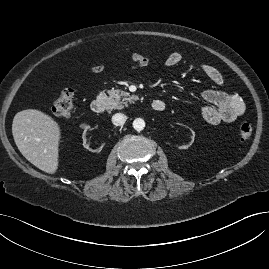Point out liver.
<instances>
[{"instance_id": "6515ba94", "label": "liver", "mask_w": 269, "mask_h": 269, "mask_svg": "<svg viewBox=\"0 0 269 269\" xmlns=\"http://www.w3.org/2000/svg\"><path fill=\"white\" fill-rule=\"evenodd\" d=\"M12 134L21 154L40 170L54 174L59 165V124L37 109L18 112L12 123Z\"/></svg>"}]
</instances>
